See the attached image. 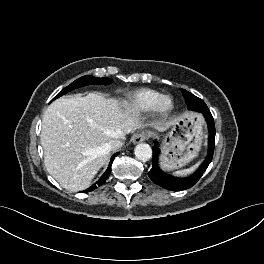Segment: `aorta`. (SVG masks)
<instances>
[{
  "label": "aorta",
  "instance_id": "obj_1",
  "mask_svg": "<svg viewBox=\"0 0 264 264\" xmlns=\"http://www.w3.org/2000/svg\"><path fill=\"white\" fill-rule=\"evenodd\" d=\"M134 154L138 160L146 162L152 157V149L148 144L140 143L135 147Z\"/></svg>",
  "mask_w": 264,
  "mask_h": 264
}]
</instances>
